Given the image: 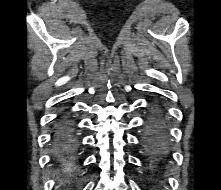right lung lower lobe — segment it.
I'll return each mask as SVG.
<instances>
[{"label":"right lung lower lobe","mask_w":221,"mask_h":190,"mask_svg":"<svg viewBox=\"0 0 221 190\" xmlns=\"http://www.w3.org/2000/svg\"><path fill=\"white\" fill-rule=\"evenodd\" d=\"M53 147V156L58 162L66 164L73 160L76 142L74 127L67 114H62L55 124Z\"/></svg>","instance_id":"right-lung-lower-lobe-1"}]
</instances>
